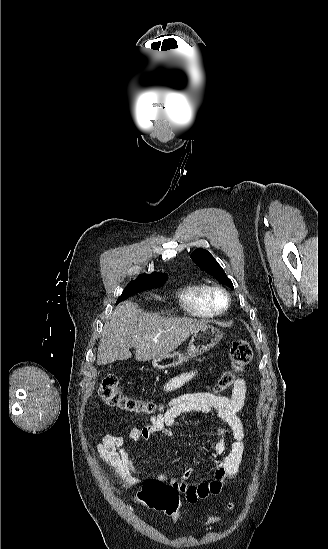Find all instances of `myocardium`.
<instances>
[{
  "mask_svg": "<svg viewBox=\"0 0 328 549\" xmlns=\"http://www.w3.org/2000/svg\"><path fill=\"white\" fill-rule=\"evenodd\" d=\"M223 296L225 298V303L222 306H219L217 303V298ZM208 301L210 304V309L212 313L216 316L226 313L232 303V298L230 292L223 286L214 285L210 286L207 293Z\"/></svg>",
  "mask_w": 328,
  "mask_h": 549,
  "instance_id": "1",
  "label": "myocardium"
}]
</instances>
